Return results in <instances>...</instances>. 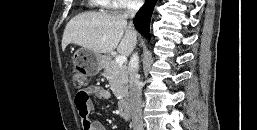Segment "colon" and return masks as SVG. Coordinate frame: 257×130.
<instances>
[{"label":"colon","mask_w":257,"mask_h":130,"mask_svg":"<svg viewBox=\"0 0 257 130\" xmlns=\"http://www.w3.org/2000/svg\"><path fill=\"white\" fill-rule=\"evenodd\" d=\"M73 84L77 88H81L87 84V78L85 74L79 70L73 71Z\"/></svg>","instance_id":"colon-1"}]
</instances>
